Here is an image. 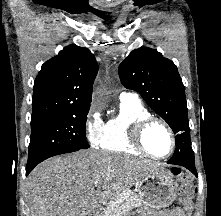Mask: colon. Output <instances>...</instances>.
<instances>
[{"instance_id": "1", "label": "colon", "mask_w": 221, "mask_h": 216, "mask_svg": "<svg viewBox=\"0 0 221 216\" xmlns=\"http://www.w3.org/2000/svg\"><path fill=\"white\" fill-rule=\"evenodd\" d=\"M178 177L180 181L182 182L181 189H180L181 202L184 205H188L191 203V195H192L190 179L188 175L186 174V172L182 170L178 172Z\"/></svg>"}]
</instances>
